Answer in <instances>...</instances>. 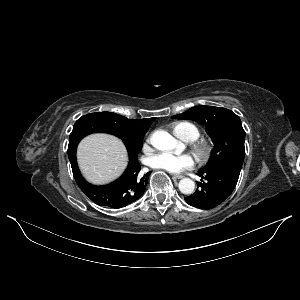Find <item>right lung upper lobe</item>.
<instances>
[{"label": "right lung upper lobe", "mask_w": 300, "mask_h": 300, "mask_svg": "<svg viewBox=\"0 0 300 300\" xmlns=\"http://www.w3.org/2000/svg\"><path fill=\"white\" fill-rule=\"evenodd\" d=\"M103 116L110 121L115 122V126L117 131L124 137H136L140 135H145L148 131L151 123L154 121L155 118H145L140 120L134 119H127L124 116L111 113V112H104Z\"/></svg>", "instance_id": "cb5924a9"}]
</instances>
